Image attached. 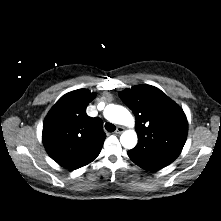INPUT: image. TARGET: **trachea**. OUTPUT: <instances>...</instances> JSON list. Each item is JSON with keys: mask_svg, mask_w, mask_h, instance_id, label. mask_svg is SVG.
<instances>
[{"mask_svg": "<svg viewBox=\"0 0 221 221\" xmlns=\"http://www.w3.org/2000/svg\"><path fill=\"white\" fill-rule=\"evenodd\" d=\"M105 129H106L108 132H114L115 129H116V127H115V125H113L112 123L107 122V123L105 124Z\"/></svg>", "mask_w": 221, "mask_h": 221, "instance_id": "1", "label": "trachea"}]
</instances>
